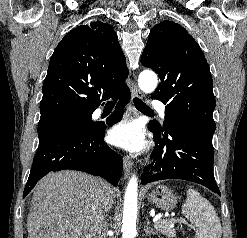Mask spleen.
Returning a JSON list of instances; mask_svg holds the SVG:
<instances>
[{
	"mask_svg": "<svg viewBox=\"0 0 247 238\" xmlns=\"http://www.w3.org/2000/svg\"><path fill=\"white\" fill-rule=\"evenodd\" d=\"M182 214L197 228L196 238H221L222 228L212 204L194 189L187 190Z\"/></svg>",
	"mask_w": 247,
	"mask_h": 238,
	"instance_id": "1",
	"label": "spleen"
}]
</instances>
